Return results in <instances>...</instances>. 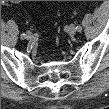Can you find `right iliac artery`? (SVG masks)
Here are the masks:
<instances>
[{"label":"right iliac artery","mask_w":109,"mask_h":109,"mask_svg":"<svg viewBox=\"0 0 109 109\" xmlns=\"http://www.w3.org/2000/svg\"><path fill=\"white\" fill-rule=\"evenodd\" d=\"M25 38V34H21V39H24Z\"/></svg>","instance_id":"right-iliac-artery-1"}]
</instances>
